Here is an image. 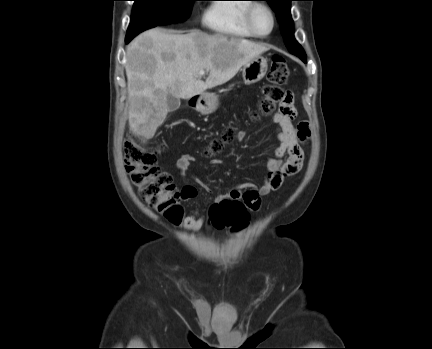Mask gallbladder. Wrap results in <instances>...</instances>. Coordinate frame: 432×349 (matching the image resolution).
<instances>
[{"mask_svg":"<svg viewBox=\"0 0 432 349\" xmlns=\"http://www.w3.org/2000/svg\"><path fill=\"white\" fill-rule=\"evenodd\" d=\"M167 105L169 112H174L180 107V99L169 94L167 96Z\"/></svg>","mask_w":432,"mask_h":349,"instance_id":"obj_1","label":"gallbladder"}]
</instances>
